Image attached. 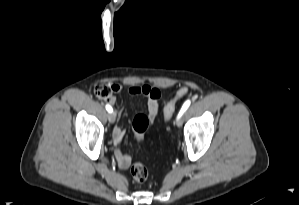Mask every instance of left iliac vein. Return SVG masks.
Here are the masks:
<instances>
[{
  "mask_svg": "<svg viewBox=\"0 0 299 205\" xmlns=\"http://www.w3.org/2000/svg\"><path fill=\"white\" fill-rule=\"evenodd\" d=\"M176 124H177L178 127H180L182 125L181 117L177 118Z\"/></svg>",
  "mask_w": 299,
  "mask_h": 205,
  "instance_id": "1",
  "label": "left iliac vein"
}]
</instances>
